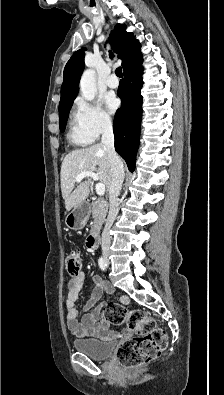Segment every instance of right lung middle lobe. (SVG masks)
I'll return each instance as SVG.
<instances>
[{"label":"right lung middle lobe","instance_id":"obj_1","mask_svg":"<svg viewBox=\"0 0 224 395\" xmlns=\"http://www.w3.org/2000/svg\"><path fill=\"white\" fill-rule=\"evenodd\" d=\"M73 103L70 105L59 109V123H60V131L63 132L65 130L66 121L68 119L69 111L71 109Z\"/></svg>","mask_w":224,"mask_h":395}]
</instances>
